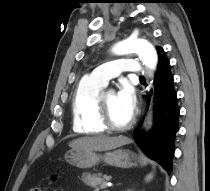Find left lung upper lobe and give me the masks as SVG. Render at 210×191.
Masks as SVG:
<instances>
[{"label":"left lung upper lobe","mask_w":210,"mask_h":191,"mask_svg":"<svg viewBox=\"0 0 210 191\" xmlns=\"http://www.w3.org/2000/svg\"><path fill=\"white\" fill-rule=\"evenodd\" d=\"M160 50H163L162 48L160 47H157V52H159Z\"/></svg>","instance_id":"5c2ea615"}]
</instances>
